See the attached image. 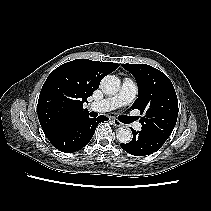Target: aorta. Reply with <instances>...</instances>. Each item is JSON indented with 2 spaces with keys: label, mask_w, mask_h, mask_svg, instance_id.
Here are the masks:
<instances>
[{
  "label": "aorta",
  "mask_w": 211,
  "mask_h": 211,
  "mask_svg": "<svg viewBox=\"0 0 211 211\" xmlns=\"http://www.w3.org/2000/svg\"><path fill=\"white\" fill-rule=\"evenodd\" d=\"M120 79L115 75H107L101 80V90L106 95H114L120 90ZM117 140L126 144L132 140V132L129 129L121 128L117 132Z\"/></svg>",
  "instance_id": "762f6f07"
}]
</instances>
